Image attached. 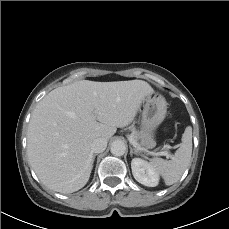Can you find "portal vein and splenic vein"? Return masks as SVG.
<instances>
[{"label":"portal vein and splenic vein","mask_w":229,"mask_h":229,"mask_svg":"<svg viewBox=\"0 0 229 229\" xmlns=\"http://www.w3.org/2000/svg\"><path fill=\"white\" fill-rule=\"evenodd\" d=\"M129 142L136 148L139 149L138 144L133 140V138L131 136H128ZM150 155L153 156H165L166 158H170V154L167 151H161V152H149Z\"/></svg>","instance_id":"1"}]
</instances>
